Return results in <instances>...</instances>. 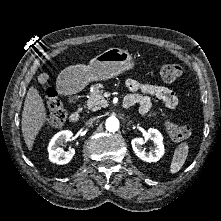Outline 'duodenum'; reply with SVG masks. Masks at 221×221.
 Listing matches in <instances>:
<instances>
[{
	"mask_svg": "<svg viewBox=\"0 0 221 221\" xmlns=\"http://www.w3.org/2000/svg\"><path fill=\"white\" fill-rule=\"evenodd\" d=\"M61 91H62V93H63L65 96H67L69 99H71V100H73V101L75 100V96H74L73 90H72L70 87L63 85V86H61ZM123 108H124V109H128V106H127V105H123ZM81 114H82L81 108L75 109V110L72 112L71 116H70V120H71L72 122H77V121H79V120H80V117H81Z\"/></svg>",
	"mask_w": 221,
	"mask_h": 221,
	"instance_id": "duodenum-1",
	"label": "duodenum"
}]
</instances>
